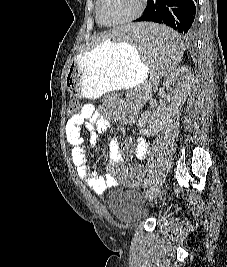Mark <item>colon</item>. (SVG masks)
Wrapping results in <instances>:
<instances>
[{
    "label": "colon",
    "instance_id": "colon-1",
    "mask_svg": "<svg viewBox=\"0 0 227 267\" xmlns=\"http://www.w3.org/2000/svg\"><path fill=\"white\" fill-rule=\"evenodd\" d=\"M69 109L70 110L67 111L68 115H80L82 106L79 105V102L77 100H73L69 105Z\"/></svg>",
    "mask_w": 227,
    "mask_h": 267
}]
</instances>
